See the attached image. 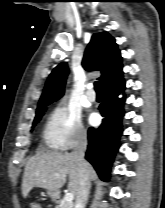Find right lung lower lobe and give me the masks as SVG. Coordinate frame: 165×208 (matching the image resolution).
Wrapping results in <instances>:
<instances>
[{
	"instance_id": "98d812e1",
	"label": "right lung lower lobe",
	"mask_w": 165,
	"mask_h": 208,
	"mask_svg": "<svg viewBox=\"0 0 165 208\" xmlns=\"http://www.w3.org/2000/svg\"><path fill=\"white\" fill-rule=\"evenodd\" d=\"M124 89L123 73L103 86L104 99L99 106L103 116L102 124L88 130L89 144L85 158L94 166L102 180H108L111 164L120 146L124 97L118 96Z\"/></svg>"
}]
</instances>
